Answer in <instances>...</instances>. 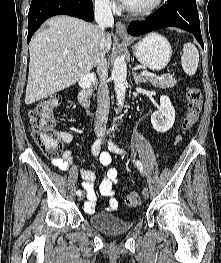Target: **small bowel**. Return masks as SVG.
Instances as JSON below:
<instances>
[{
    "mask_svg": "<svg viewBox=\"0 0 221 263\" xmlns=\"http://www.w3.org/2000/svg\"><path fill=\"white\" fill-rule=\"evenodd\" d=\"M63 141L70 144L73 137L68 132L62 133ZM100 163L108 167L105 176L99 186L100 194L107 198L106 204L102 207V213H108L115 211L118 208V200L115 197L113 185L118 181V172L115 168L110 167L112 158L107 152H103L99 156ZM52 165L59 168L60 170L67 171L74 163L75 159L70 150H66L63 153L61 159H55L51 161ZM80 176L83 180V188L86 191L87 200L84 203V210L88 214L95 213L96 194L94 191L95 175L92 171L81 170Z\"/></svg>",
    "mask_w": 221,
    "mask_h": 263,
    "instance_id": "obj_1",
    "label": "small bowel"
}]
</instances>
